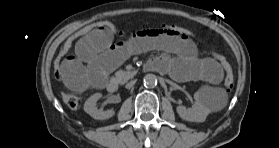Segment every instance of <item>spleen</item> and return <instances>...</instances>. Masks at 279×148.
<instances>
[{
    "label": "spleen",
    "mask_w": 279,
    "mask_h": 148,
    "mask_svg": "<svg viewBox=\"0 0 279 148\" xmlns=\"http://www.w3.org/2000/svg\"><path fill=\"white\" fill-rule=\"evenodd\" d=\"M203 98L212 111L222 110L228 103L226 91L221 88H205L202 90Z\"/></svg>",
    "instance_id": "3e777b00"
}]
</instances>
